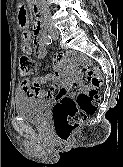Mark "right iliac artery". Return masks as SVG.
Segmentation results:
<instances>
[{
  "label": "right iliac artery",
  "mask_w": 123,
  "mask_h": 167,
  "mask_svg": "<svg viewBox=\"0 0 123 167\" xmlns=\"http://www.w3.org/2000/svg\"><path fill=\"white\" fill-rule=\"evenodd\" d=\"M44 43L50 45L52 43V37L50 35L45 34L43 37Z\"/></svg>",
  "instance_id": "1"
}]
</instances>
